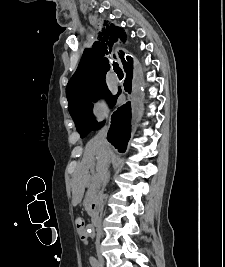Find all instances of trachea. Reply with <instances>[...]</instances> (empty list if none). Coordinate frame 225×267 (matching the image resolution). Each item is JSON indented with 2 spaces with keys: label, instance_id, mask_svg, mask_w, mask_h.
<instances>
[{
  "label": "trachea",
  "instance_id": "trachea-1",
  "mask_svg": "<svg viewBox=\"0 0 225 267\" xmlns=\"http://www.w3.org/2000/svg\"><path fill=\"white\" fill-rule=\"evenodd\" d=\"M113 68H114V71L118 74V75H121L123 74L121 68L119 67L118 63H113Z\"/></svg>",
  "mask_w": 225,
  "mask_h": 267
}]
</instances>
